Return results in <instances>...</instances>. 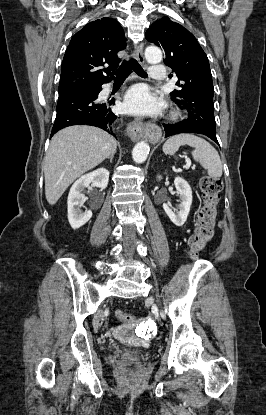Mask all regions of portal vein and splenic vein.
Wrapping results in <instances>:
<instances>
[{
    "mask_svg": "<svg viewBox=\"0 0 266 415\" xmlns=\"http://www.w3.org/2000/svg\"><path fill=\"white\" fill-rule=\"evenodd\" d=\"M186 160H187V164L185 165V168H186V169H189V168H190L191 163H190V160H189L188 158H186Z\"/></svg>",
    "mask_w": 266,
    "mask_h": 415,
    "instance_id": "18ae733b",
    "label": "portal vein and splenic vein"
}]
</instances>
